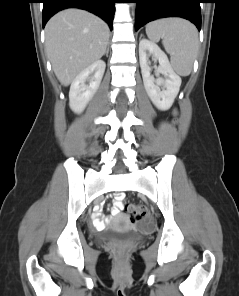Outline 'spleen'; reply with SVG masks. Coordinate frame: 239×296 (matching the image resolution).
I'll list each match as a JSON object with an SVG mask.
<instances>
[{
	"instance_id": "1",
	"label": "spleen",
	"mask_w": 239,
	"mask_h": 296,
	"mask_svg": "<svg viewBox=\"0 0 239 296\" xmlns=\"http://www.w3.org/2000/svg\"><path fill=\"white\" fill-rule=\"evenodd\" d=\"M146 34L153 41L162 38L173 69L181 76L190 75L199 48L193 24L178 18L160 19L147 24Z\"/></svg>"
}]
</instances>
